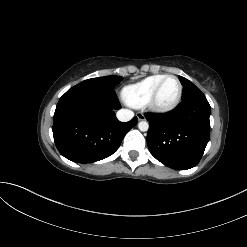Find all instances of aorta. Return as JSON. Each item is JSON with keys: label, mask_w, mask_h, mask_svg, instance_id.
I'll use <instances>...</instances> for the list:
<instances>
[{"label": "aorta", "mask_w": 247, "mask_h": 247, "mask_svg": "<svg viewBox=\"0 0 247 247\" xmlns=\"http://www.w3.org/2000/svg\"><path fill=\"white\" fill-rule=\"evenodd\" d=\"M138 128L140 131L145 132L149 129V124L146 121H141L138 123Z\"/></svg>", "instance_id": "aorta-1"}]
</instances>
